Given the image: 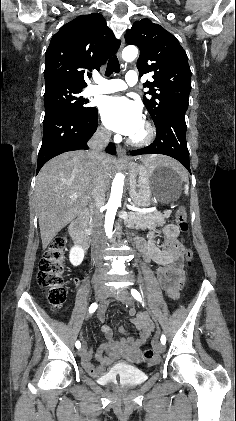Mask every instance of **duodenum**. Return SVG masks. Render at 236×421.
Returning <instances> with one entry per match:
<instances>
[{"label": "duodenum", "instance_id": "1", "mask_svg": "<svg viewBox=\"0 0 236 421\" xmlns=\"http://www.w3.org/2000/svg\"><path fill=\"white\" fill-rule=\"evenodd\" d=\"M88 219V212L86 210L81 211L77 217L70 223L69 233L75 243V245L86 254L88 249V242L84 233V227ZM135 243L143 254L144 258L148 262H154L160 266L159 279L162 288L169 294L170 297L175 298L177 290L183 283L182 275V261L179 251L176 245L172 242L168 243L166 248L159 250L154 246L146 248V244L141 239H135ZM138 328L141 330L142 322L136 321ZM142 341L141 338L137 340L134 345L138 346ZM119 344L108 343L105 346V350L109 352L107 357H103L102 354L98 357L102 365L99 367L93 366L89 359L90 353H86L83 359V366L89 374L93 376H100L105 371V368L113 362L119 354Z\"/></svg>", "mask_w": 236, "mask_h": 421}]
</instances>
